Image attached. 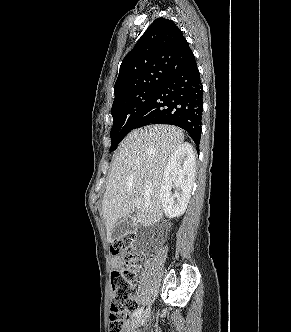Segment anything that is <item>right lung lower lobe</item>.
<instances>
[{"mask_svg":"<svg viewBox=\"0 0 291 332\" xmlns=\"http://www.w3.org/2000/svg\"><path fill=\"white\" fill-rule=\"evenodd\" d=\"M203 88L196 61L170 73L143 109L134 129L149 124H170L186 130L196 146L201 136Z\"/></svg>","mask_w":291,"mask_h":332,"instance_id":"obj_1","label":"right lung lower lobe"}]
</instances>
